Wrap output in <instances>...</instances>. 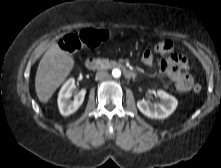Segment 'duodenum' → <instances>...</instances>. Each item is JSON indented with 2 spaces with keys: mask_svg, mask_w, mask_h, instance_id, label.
I'll list each match as a JSON object with an SVG mask.
<instances>
[{
  "mask_svg": "<svg viewBox=\"0 0 221 168\" xmlns=\"http://www.w3.org/2000/svg\"><path fill=\"white\" fill-rule=\"evenodd\" d=\"M85 66L89 70H96L100 67V64L97 59L90 57V58L86 59ZM123 74L128 79H132L136 76L135 71H133L131 69H124Z\"/></svg>",
  "mask_w": 221,
  "mask_h": 168,
  "instance_id": "1",
  "label": "duodenum"
}]
</instances>
